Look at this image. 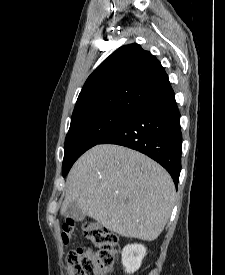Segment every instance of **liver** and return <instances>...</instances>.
Instances as JSON below:
<instances>
[{
    "label": "liver",
    "mask_w": 225,
    "mask_h": 275,
    "mask_svg": "<svg viewBox=\"0 0 225 275\" xmlns=\"http://www.w3.org/2000/svg\"><path fill=\"white\" fill-rule=\"evenodd\" d=\"M174 200L173 180L159 164L135 150L103 144L71 168L61 213L76 202L108 230L153 241L169 220Z\"/></svg>",
    "instance_id": "6515ba94"
}]
</instances>
